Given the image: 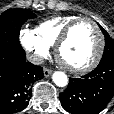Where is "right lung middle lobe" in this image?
Wrapping results in <instances>:
<instances>
[{
	"instance_id": "1",
	"label": "right lung middle lobe",
	"mask_w": 114,
	"mask_h": 114,
	"mask_svg": "<svg viewBox=\"0 0 114 114\" xmlns=\"http://www.w3.org/2000/svg\"><path fill=\"white\" fill-rule=\"evenodd\" d=\"M36 17L27 9H9L0 15V50L24 51L19 42L20 27Z\"/></svg>"
}]
</instances>
